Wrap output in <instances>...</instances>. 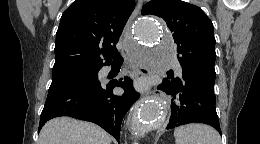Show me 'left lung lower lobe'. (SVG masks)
Returning a JSON list of instances; mask_svg holds the SVG:
<instances>
[{
  "label": "left lung lower lobe",
  "mask_w": 260,
  "mask_h": 144,
  "mask_svg": "<svg viewBox=\"0 0 260 144\" xmlns=\"http://www.w3.org/2000/svg\"><path fill=\"white\" fill-rule=\"evenodd\" d=\"M158 89L170 96L171 114L166 129L188 123H205L221 134L216 113L214 82L190 71L174 78L168 73Z\"/></svg>",
  "instance_id": "left-lung-lower-lobe-1"
}]
</instances>
